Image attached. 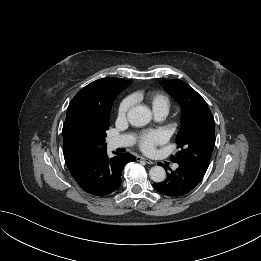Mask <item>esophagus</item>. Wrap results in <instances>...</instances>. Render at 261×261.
<instances>
[{"mask_svg": "<svg viewBox=\"0 0 261 261\" xmlns=\"http://www.w3.org/2000/svg\"><path fill=\"white\" fill-rule=\"evenodd\" d=\"M138 159L145 161L147 164H154V161L147 159L145 157H138Z\"/></svg>", "mask_w": 261, "mask_h": 261, "instance_id": "34e87169", "label": "esophagus"}]
</instances>
